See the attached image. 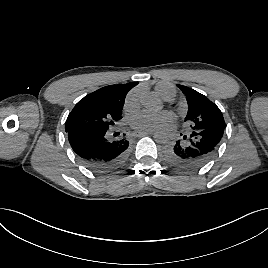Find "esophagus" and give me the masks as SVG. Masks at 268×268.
Masks as SVG:
<instances>
[{"mask_svg": "<svg viewBox=\"0 0 268 268\" xmlns=\"http://www.w3.org/2000/svg\"><path fill=\"white\" fill-rule=\"evenodd\" d=\"M146 134L145 133H140V138H145Z\"/></svg>", "mask_w": 268, "mask_h": 268, "instance_id": "esophagus-1", "label": "esophagus"}]
</instances>
